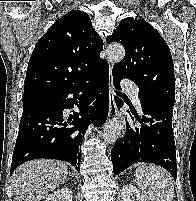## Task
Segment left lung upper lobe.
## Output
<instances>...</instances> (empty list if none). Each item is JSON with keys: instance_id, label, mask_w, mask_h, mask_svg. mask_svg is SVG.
<instances>
[{"instance_id": "obj_1", "label": "left lung upper lobe", "mask_w": 196, "mask_h": 201, "mask_svg": "<svg viewBox=\"0 0 196 201\" xmlns=\"http://www.w3.org/2000/svg\"><path fill=\"white\" fill-rule=\"evenodd\" d=\"M107 43L119 42L125 48L124 59L113 67V76L129 78L139 87V99H157L174 105V65L162 36L142 19L121 20Z\"/></svg>"}]
</instances>
